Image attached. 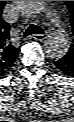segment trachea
I'll return each instance as SVG.
<instances>
[{"mask_svg":"<svg viewBox=\"0 0 74 122\" xmlns=\"http://www.w3.org/2000/svg\"><path fill=\"white\" fill-rule=\"evenodd\" d=\"M34 34H44V31L40 26L31 24L24 32L23 37H27Z\"/></svg>","mask_w":74,"mask_h":122,"instance_id":"1","label":"trachea"}]
</instances>
